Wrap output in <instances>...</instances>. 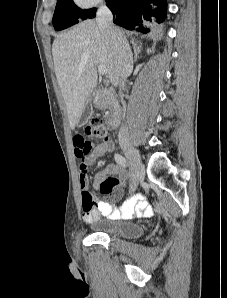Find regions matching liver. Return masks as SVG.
Wrapping results in <instances>:
<instances>
[{
    "mask_svg": "<svg viewBox=\"0 0 227 298\" xmlns=\"http://www.w3.org/2000/svg\"><path fill=\"white\" fill-rule=\"evenodd\" d=\"M52 55L70 128L74 130L87 98L97 84L96 66L106 67L113 86L119 83L113 40L95 20H85L57 35L52 45Z\"/></svg>",
    "mask_w": 227,
    "mask_h": 298,
    "instance_id": "liver-1",
    "label": "liver"
}]
</instances>
